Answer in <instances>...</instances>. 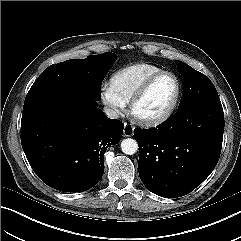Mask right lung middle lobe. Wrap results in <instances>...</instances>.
<instances>
[{"label":"right lung middle lobe","mask_w":241,"mask_h":241,"mask_svg":"<svg viewBox=\"0 0 241 241\" xmlns=\"http://www.w3.org/2000/svg\"><path fill=\"white\" fill-rule=\"evenodd\" d=\"M115 60L116 54L108 52L54 64L42 72L31 88L48 83H71L100 100L101 83Z\"/></svg>","instance_id":"right-lung-middle-lobe-1"}]
</instances>
